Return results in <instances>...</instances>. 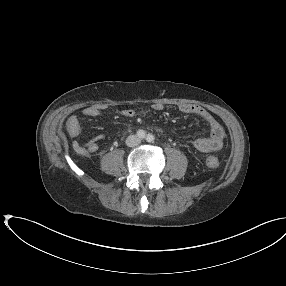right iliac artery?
Wrapping results in <instances>:
<instances>
[{"label": "right iliac artery", "instance_id": "right-iliac-artery-1", "mask_svg": "<svg viewBox=\"0 0 286 286\" xmlns=\"http://www.w3.org/2000/svg\"><path fill=\"white\" fill-rule=\"evenodd\" d=\"M137 136L140 138V139H144L145 136H146V132L144 130H138L137 131Z\"/></svg>", "mask_w": 286, "mask_h": 286}]
</instances>
